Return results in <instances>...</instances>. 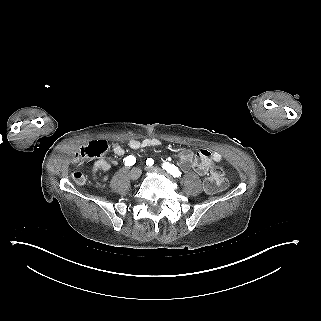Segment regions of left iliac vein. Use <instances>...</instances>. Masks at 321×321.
Returning a JSON list of instances; mask_svg holds the SVG:
<instances>
[{"instance_id": "1", "label": "left iliac vein", "mask_w": 321, "mask_h": 321, "mask_svg": "<svg viewBox=\"0 0 321 321\" xmlns=\"http://www.w3.org/2000/svg\"><path fill=\"white\" fill-rule=\"evenodd\" d=\"M146 170L148 172H154V173H162V170L160 168H157V167H146Z\"/></svg>"}]
</instances>
